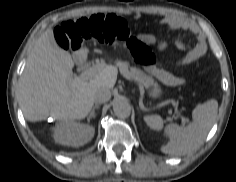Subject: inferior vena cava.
Here are the masks:
<instances>
[{"label":"inferior vena cava","mask_w":236,"mask_h":182,"mask_svg":"<svg viewBox=\"0 0 236 182\" xmlns=\"http://www.w3.org/2000/svg\"><path fill=\"white\" fill-rule=\"evenodd\" d=\"M111 98V91L109 88L100 87L95 91L94 101L96 103H105Z\"/></svg>","instance_id":"1"}]
</instances>
